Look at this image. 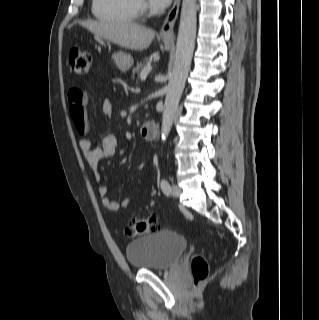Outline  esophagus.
<instances>
[{
  "label": "esophagus",
  "mask_w": 319,
  "mask_h": 320,
  "mask_svg": "<svg viewBox=\"0 0 319 320\" xmlns=\"http://www.w3.org/2000/svg\"><path fill=\"white\" fill-rule=\"evenodd\" d=\"M180 0H175L172 8L170 9L161 29L159 36L168 42H173L174 36V24L179 14Z\"/></svg>",
  "instance_id": "obj_1"
}]
</instances>
